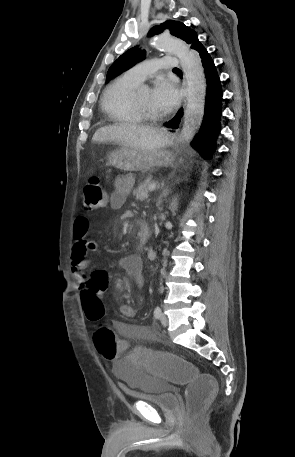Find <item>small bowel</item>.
Listing matches in <instances>:
<instances>
[{"label": "small bowel", "instance_id": "obj_1", "mask_svg": "<svg viewBox=\"0 0 295 457\" xmlns=\"http://www.w3.org/2000/svg\"><path fill=\"white\" fill-rule=\"evenodd\" d=\"M133 182L128 177H120L115 181V188L110 195V206L113 209L121 208L127 195L130 193ZM90 222L85 216H78L74 222L75 243L71 255V270L78 286L83 289L87 283L84 271L88 266L87 255L97 249V244L89 237ZM119 264L134 278L138 287H143L145 280L142 273V260L137 255H130L119 259ZM93 275V274H92ZM119 311L125 318H134L136 310L130 304L120 305ZM115 327L123 336L118 341H126L130 347V339L151 338L155 326H139L127 322L117 321ZM103 356V355H102ZM127 356V355H126Z\"/></svg>", "mask_w": 295, "mask_h": 457}]
</instances>
